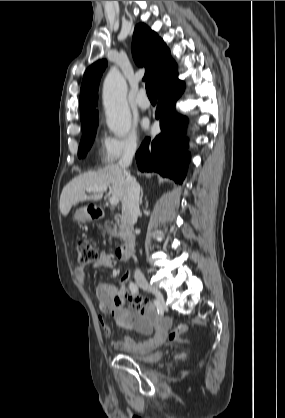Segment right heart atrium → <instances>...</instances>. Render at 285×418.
<instances>
[{
	"mask_svg": "<svg viewBox=\"0 0 285 418\" xmlns=\"http://www.w3.org/2000/svg\"><path fill=\"white\" fill-rule=\"evenodd\" d=\"M139 145V134L134 128H131L123 136H109L103 145V161L107 165H114L124 159L131 158L137 152Z\"/></svg>",
	"mask_w": 285,
	"mask_h": 418,
	"instance_id": "obj_1",
	"label": "right heart atrium"
}]
</instances>
